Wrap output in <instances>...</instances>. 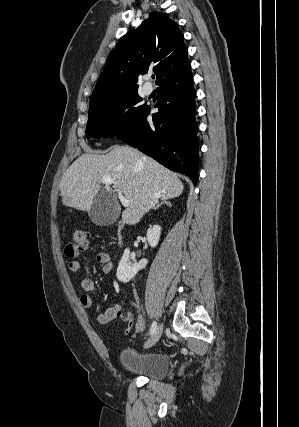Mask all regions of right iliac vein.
Here are the masks:
<instances>
[{"label": "right iliac vein", "instance_id": "63e3f726", "mask_svg": "<svg viewBox=\"0 0 299 427\" xmlns=\"http://www.w3.org/2000/svg\"><path fill=\"white\" fill-rule=\"evenodd\" d=\"M162 332H163V327H162V325H160L155 330V332L151 335V337L145 342L144 348L148 349V348H151L152 346H154L158 342V340L160 339Z\"/></svg>", "mask_w": 299, "mask_h": 427}]
</instances>
